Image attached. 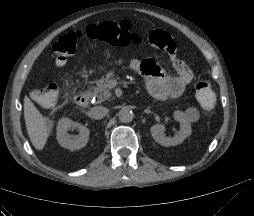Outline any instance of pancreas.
Wrapping results in <instances>:
<instances>
[{
	"mask_svg": "<svg viewBox=\"0 0 254 216\" xmlns=\"http://www.w3.org/2000/svg\"><path fill=\"white\" fill-rule=\"evenodd\" d=\"M113 77V74H108L106 78H101L97 82V86L94 87L93 90V96L97 98V103H101L105 100H109L111 93H110V85L109 80Z\"/></svg>",
	"mask_w": 254,
	"mask_h": 216,
	"instance_id": "pancreas-1",
	"label": "pancreas"
}]
</instances>
